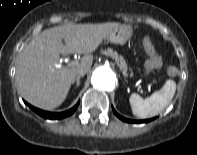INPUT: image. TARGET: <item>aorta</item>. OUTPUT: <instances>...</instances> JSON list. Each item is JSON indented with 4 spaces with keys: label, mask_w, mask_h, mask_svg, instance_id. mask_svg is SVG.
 Segmentation results:
<instances>
[{
    "label": "aorta",
    "mask_w": 197,
    "mask_h": 155,
    "mask_svg": "<svg viewBox=\"0 0 197 155\" xmlns=\"http://www.w3.org/2000/svg\"><path fill=\"white\" fill-rule=\"evenodd\" d=\"M92 84L103 90H112L115 86L116 76L107 66L98 67L92 75Z\"/></svg>",
    "instance_id": "1"
}]
</instances>
